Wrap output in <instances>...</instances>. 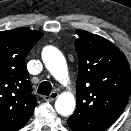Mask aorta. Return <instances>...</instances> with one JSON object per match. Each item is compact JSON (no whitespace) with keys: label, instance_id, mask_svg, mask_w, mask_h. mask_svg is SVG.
Segmentation results:
<instances>
[{"label":"aorta","instance_id":"aorta-1","mask_svg":"<svg viewBox=\"0 0 131 131\" xmlns=\"http://www.w3.org/2000/svg\"><path fill=\"white\" fill-rule=\"evenodd\" d=\"M42 60L49 72L57 79L68 77L67 63L62 53L53 46L43 49ZM56 111L62 116H69L75 109V99L71 93H62L55 102Z\"/></svg>","mask_w":131,"mask_h":131}]
</instances>
